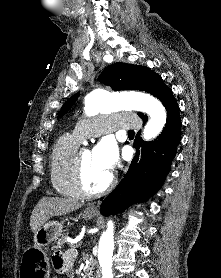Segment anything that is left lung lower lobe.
Masks as SVG:
<instances>
[{"label": "left lung lower lobe", "mask_w": 221, "mask_h": 278, "mask_svg": "<svg viewBox=\"0 0 221 278\" xmlns=\"http://www.w3.org/2000/svg\"><path fill=\"white\" fill-rule=\"evenodd\" d=\"M166 110L167 121L158 140L137 144V153L124 178L102 199L104 216L122 212L132 203L146 200L162 186L181 140V118L176 100ZM147 120V117L143 118V123Z\"/></svg>", "instance_id": "0a47b994"}]
</instances>
